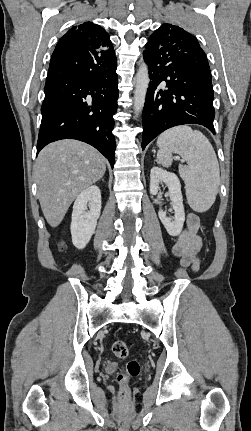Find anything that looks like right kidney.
Masks as SVG:
<instances>
[{"instance_id": "obj_1", "label": "right kidney", "mask_w": 251, "mask_h": 431, "mask_svg": "<svg viewBox=\"0 0 251 431\" xmlns=\"http://www.w3.org/2000/svg\"><path fill=\"white\" fill-rule=\"evenodd\" d=\"M100 213L101 192L98 186L93 185L83 190L73 205L71 235L76 248L83 249L89 243L95 233Z\"/></svg>"}]
</instances>
